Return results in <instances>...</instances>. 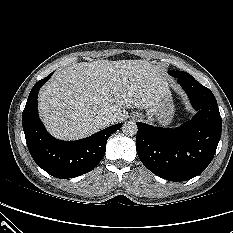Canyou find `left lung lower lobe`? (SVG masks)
I'll list each match as a JSON object with an SVG mask.
<instances>
[{
	"label": "left lung lower lobe",
	"mask_w": 233,
	"mask_h": 233,
	"mask_svg": "<svg viewBox=\"0 0 233 233\" xmlns=\"http://www.w3.org/2000/svg\"><path fill=\"white\" fill-rule=\"evenodd\" d=\"M177 81L197 113L174 129L137 122L136 149L141 162L157 176L185 181L202 173L212 161L221 137L222 119L211 90L192 76Z\"/></svg>",
	"instance_id": "0a47b994"
}]
</instances>
